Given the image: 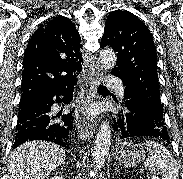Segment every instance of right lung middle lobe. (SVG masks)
Wrapping results in <instances>:
<instances>
[{
  "mask_svg": "<svg viewBox=\"0 0 183 179\" xmlns=\"http://www.w3.org/2000/svg\"><path fill=\"white\" fill-rule=\"evenodd\" d=\"M24 101L25 99L21 98L20 104H19L20 109L24 106Z\"/></svg>",
  "mask_w": 183,
  "mask_h": 179,
  "instance_id": "right-lung-middle-lobe-1",
  "label": "right lung middle lobe"
}]
</instances>
